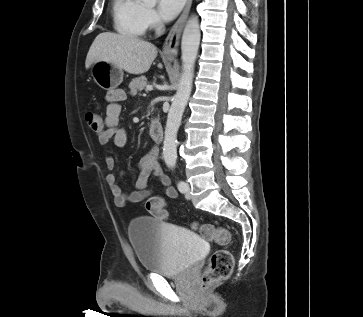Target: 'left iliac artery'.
Listing matches in <instances>:
<instances>
[{
    "mask_svg": "<svg viewBox=\"0 0 363 317\" xmlns=\"http://www.w3.org/2000/svg\"><path fill=\"white\" fill-rule=\"evenodd\" d=\"M177 187L180 192H185L186 184L184 181H178Z\"/></svg>",
    "mask_w": 363,
    "mask_h": 317,
    "instance_id": "left-iliac-artery-1",
    "label": "left iliac artery"
}]
</instances>
